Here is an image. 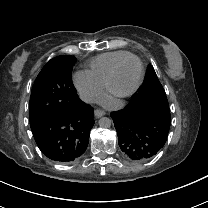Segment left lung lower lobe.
<instances>
[{
	"label": "left lung lower lobe",
	"instance_id": "left-lung-lower-lobe-1",
	"mask_svg": "<svg viewBox=\"0 0 208 208\" xmlns=\"http://www.w3.org/2000/svg\"><path fill=\"white\" fill-rule=\"evenodd\" d=\"M118 143L130 159L144 161L164 146L170 128V112L162 107L130 102L112 112Z\"/></svg>",
	"mask_w": 208,
	"mask_h": 208
}]
</instances>
